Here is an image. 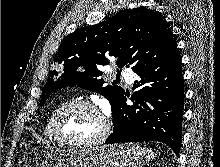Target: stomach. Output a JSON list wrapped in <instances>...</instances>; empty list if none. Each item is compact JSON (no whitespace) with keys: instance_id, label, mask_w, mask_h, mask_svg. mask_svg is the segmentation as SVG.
I'll list each match as a JSON object with an SVG mask.
<instances>
[{"instance_id":"0dacf381","label":"stomach","mask_w":220,"mask_h":167,"mask_svg":"<svg viewBox=\"0 0 220 167\" xmlns=\"http://www.w3.org/2000/svg\"><path fill=\"white\" fill-rule=\"evenodd\" d=\"M144 156L135 143L63 149L37 141L28 144L21 162L23 167H141Z\"/></svg>"}]
</instances>
